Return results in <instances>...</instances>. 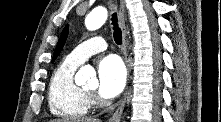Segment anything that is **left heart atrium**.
I'll return each instance as SVG.
<instances>
[{
    "label": "left heart atrium",
    "mask_w": 221,
    "mask_h": 122,
    "mask_svg": "<svg viewBox=\"0 0 221 122\" xmlns=\"http://www.w3.org/2000/svg\"><path fill=\"white\" fill-rule=\"evenodd\" d=\"M98 95L102 98L116 97L123 90L126 80V70L121 59L109 55L98 64Z\"/></svg>",
    "instance_id": "left-heart-atrium-1"
}]
</instances>
